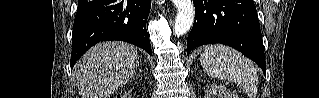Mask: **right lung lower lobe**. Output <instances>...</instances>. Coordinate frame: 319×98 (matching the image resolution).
Segmentation results:
<instances>
[{
    "label": "right lung lower lobe",
    "instance_id": "1",
    "mask_svg": "<svg viewBox=\"0 0 319 98\" xmlns=\"http://www.w3.org/2000/svg\"><path fill=\"white\" fill-rule=\"evenodd\" d=\"M151 0H79L72 36L70 65L101 41L121 40L146 50L151 45L146 30Z\"/></svg>",
    "mask_w": 319,
    "mask_h": 98
}]
</instances>
